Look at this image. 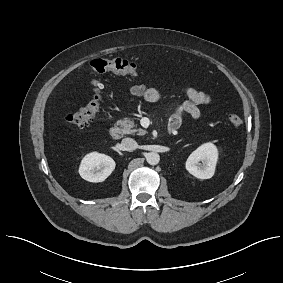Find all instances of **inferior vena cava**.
<instances>
[{
	"label": "inferior vena cava",
	"mask_w": 283,
	"mask_h": 283,
	"mask_svg": "<svg viewBox=\"0 0 283 283\" xmlns=\"http://www.w3.org/2000/svg\"><path fill=\"white\" fill-rule=\"evenodd\" d=\"M121 146H122L123 150H126V151H133V150H136L138 148L137 142L132 138L122 139Z\"/></svg>",
	"instance_id": "1"
}]
</instances>
